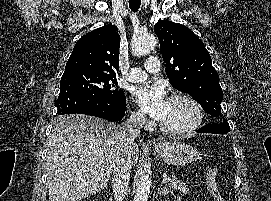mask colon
Wrapping results in <instances>:
<instances>
[{
	"label": "colon",
	"instance_id": "5ec220e1",
	"mask_svg": "<svg viewBox=\"0 0 271 201\" xmlns=\"http://www.w3.org/2000/svg\"><path fill=\"white\" fill-rule=\"evenodd\" d=\"M216 174H217V168L216 167H213L209 173H208V176H207V181H208V184H209V187L213 190V191H216Z\"/></svg>",
	"mask_w": 271,
	"mask_h": 201
}]
</instances>
